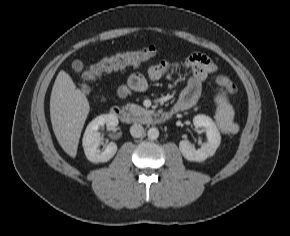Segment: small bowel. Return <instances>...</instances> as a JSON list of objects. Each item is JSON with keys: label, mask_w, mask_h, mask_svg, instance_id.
<instances>
[{"label": "small bowel", "mask_w": 290, "mask_h": 236, "mask_svg": "<svg viewBox=\"0 0 290 236\" xmlns=\"http://www.w3.org/2000/svg\"><path fill=\"white\" fill-rule=\"evenodd\" d=\"M174 70L190 73L184 90L172 107V111L178 112L191 109L203 98V83L210 74L218 70V67L210 57L199 52L189 54L181 62L161 61L151 65L146 74L140 72L131 74L127 84L116 90L117 97L127 99L134 93L144 92L149 81H158Z\"/></svg>", "instance_id": "obj_1"}]
</instances>
